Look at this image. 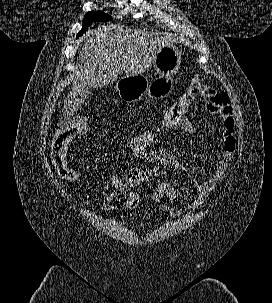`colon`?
I'll return each instance as SVG.
<instances>
[{
	"label": "colon",
	"mask_w": 272,
	"mask_h": 303,
	"mask_svg": "<svg viewBox=\"0 0 272 303\" xmlns=\"http://www.w3.org/2000/svg\"><path fill=\"white\" fill-rule=\"evenodd\" d=\"M202 79L200 74L194 76L189 86L164 111L156 125L128 136L122 142L121 148L132 151L158 147L166 137L190 128L188 111L195 95L204 86ZM89 128L87 119L75 118L54 135L51 144V162L60 178L67 181H78L82 178V172L67 162L66 150L73 139L87 133ZM138 202L139 196L135 193L114 191L104 197L102 207L105 210L127 209L134 207Z\"/></svg>",
	"instance_id": "colon-1"
}]
</instances>
